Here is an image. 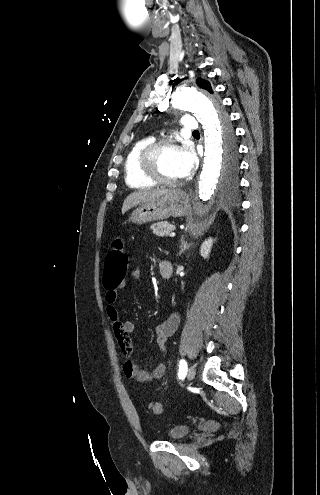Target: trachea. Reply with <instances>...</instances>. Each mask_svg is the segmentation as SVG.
<instances>
[{"label": "trachea", "mask_w": 320, "mask_h": 495, "mask_svg": "<svg viewBox=\"0 0 320 495\" xmlns=\"http://www.w3.org/2000/svg\"><path fill=\"white\" fill-rule=\"evenodd\" d=\"M193 133H199L198 131H194Z\"/></svg>", "instance_id": "3493384b"}]
</instances>
